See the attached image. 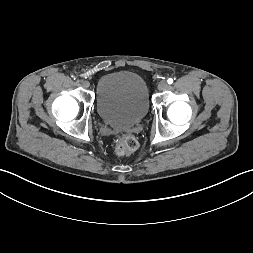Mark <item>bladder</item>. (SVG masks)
I'll return each instance as SVG.
<instances>
[{
	"label": "bladder",
	"instance_id": "bladder-1",
	"mask_svg": "<svg viewBox=\"0 0 253 253\" xmlns=\"http://www.w3.org/2000/svg\"><path fill=\"white\" fill-rule=\"evenodd\" d=\"M96 109L99 117L117 129L141 122L149 110V94L144 79L134 72L103 75L96 84Z\"/></svg>",
	"mask_w": 253,
	"mask_h": 253
}]
</instances>
